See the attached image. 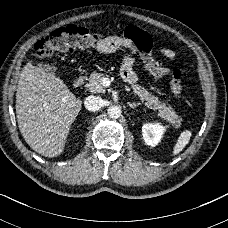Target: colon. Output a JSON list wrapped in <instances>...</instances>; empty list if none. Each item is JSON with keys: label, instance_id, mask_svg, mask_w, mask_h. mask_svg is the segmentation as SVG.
I'll use <instances>...</instances> for the list:
<instances>
[{"label": "colon", "instance_id": "1", "mask_svg": "<svg viewBox=\"0 0 228 228\" xmlns=\"http://www.w3.org/2000/svg\"><path fill=\"white\" fill-rule=\"evenodd\" d=\"M106 37L96 34L85 28L74 25L61 27L41 38L34 47L37 58L52 56L57 51L64 50H90L102 44ZM170 89L175 97L181 98L183 94V74L180 69L170 73Z\"/></svg>", "mask_w": 228, "mask_h": 228}]
</instances>
